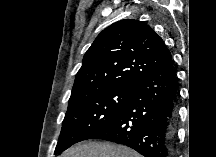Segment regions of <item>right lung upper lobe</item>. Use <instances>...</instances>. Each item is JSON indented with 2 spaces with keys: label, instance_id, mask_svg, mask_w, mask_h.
I'll list each match as a JSON object with an SVG mask.
<instances>
[{
  "label": "right lung upper lobe",
  "instance_id": "obj_1",
  "mask_svg": "<svg viewBox=\"0 0 216 157\" xmlns=\"http://www.w3.org/2000/svg\"><path fill=\"white\" fill-rule=\"evenodd\" d=\"M170 58L161 37L147 24L130 19L115 22L85 53L69 103L92 91L133 86Z\"/></svg>",
  "mask_w": 216,
  "mask_h": 157
}]
</instances>
